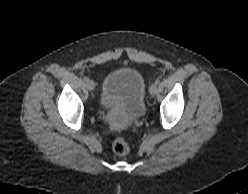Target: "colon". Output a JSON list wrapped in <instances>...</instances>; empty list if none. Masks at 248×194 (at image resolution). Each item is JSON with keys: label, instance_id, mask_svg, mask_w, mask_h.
<instances>
[{"label": "colon", "instance_id": "5ec220e1", "mask_svg": "<svg viewBox=\"0 0 248 194\" xmlns=\"http://www.w3.org/2000/svg\"><path fill=\"white\" fill-rule=\"evenodd\" d=\"M113 151L120 156H125L130 151L128 141L123 137H117L113 142Z\"/></svg>", "mask_w": 248, "mask_h": 194}]
</instances>
